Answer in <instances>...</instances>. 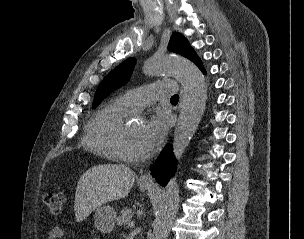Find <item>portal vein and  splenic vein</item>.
<instances>
[{"label":"portal vein and splenic vein","instance_id":"portal-vein-and-splenic-vein-1","mask_svg":"<svg viewBox=\"0 0 304 239\" xmlns=\"http://www.w3.org/2000/svg\"><path fill=\"white\" fill-rule=\"evenodd\" d=\"M135 225V223L132 221L128 224L129 227H133Z\"/></svg>","mask_w":304,"mask_h":239}]
</instances>
